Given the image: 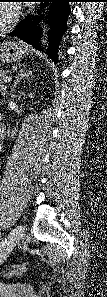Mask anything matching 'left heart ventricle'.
<instances>
[{
  "instance_id": "1",
  "label": "left heart ventricle",
  "mask_w": 107,
  "mask_h": 297,
  "mask_svg": "<svg viewBox=\"0 0 107 297\" xmlns=\"http://www.w3.org/2000/svg\"><path fill=\"white\" fill-rule=\"evenodd\" d=\"M0 8H1V18H0V27L7 24L12 16H13V11L12 9L7 6V5H0Z\"/></svg>"
}]
</instances>
